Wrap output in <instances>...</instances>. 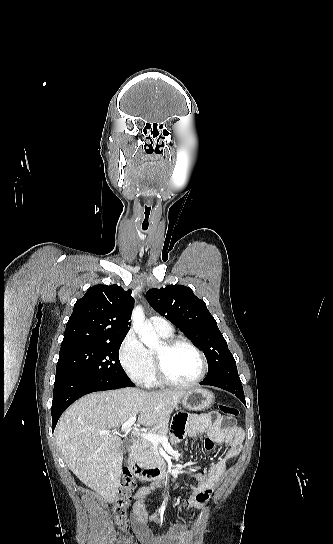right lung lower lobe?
<instances>
[{
  "label": "right lung lower lobe",
  "instance_id": "1",
  "mask_svg": "<svg viewBox=\"0 0 333 544\" xmlns=\"http://www.w3.org/2000/svg\"><path fill=\"white\" fill-rule=\"evenodd\" d=\"M133 386V383L122 384L109 381L89 380L72 374L56 375L51 407L52 431H54L61 414L78 398L91 392Z\"/></svg>",
  "mask_w": 333,
  "mask_h": 544
}]
</instances>
